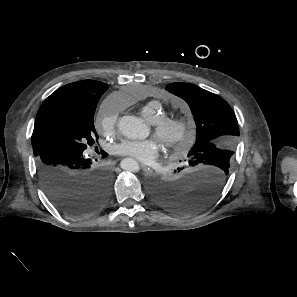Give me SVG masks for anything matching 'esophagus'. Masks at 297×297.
<instances>
[{
  "instance_id": "esophagus-1",
  "label": "esophagus",
  "mask_w": 297,
  "mask_h": 297,
  "mask_svg": "<svg viewBox=\"0 0 297 297\" xmlns=\"http://www.w3.org/2000/svg\"><path fill=\"white\" fill-rule=\"evenodd\" d=\"M142 169L146 172V173H151L152 169L150 167H148L145 164H141Z\"/></svg>"
}]
</instances>
